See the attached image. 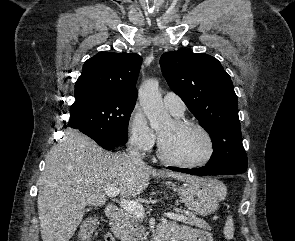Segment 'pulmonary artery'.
Here are the masks:
<instances>
[{"mask_svg": "<svg viewBox=\"0 0 295 241\" xmlns=\"http://www.w3.org/2000/svg\"><path fill=\"white\" fill-rule=\"evenodd\" d=\"M163 103L166 109L174 116L181 117L185 112L183 100L175 93L168 92L163 97Z\"/></svg>", "mask_w": 295, "mask_h": 241, "instance_id": "obj_1", "label": "pulmonary artery"}]
</instances>
